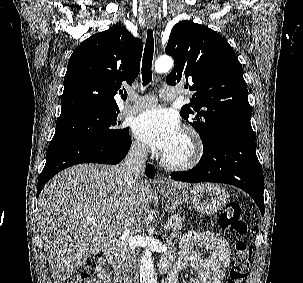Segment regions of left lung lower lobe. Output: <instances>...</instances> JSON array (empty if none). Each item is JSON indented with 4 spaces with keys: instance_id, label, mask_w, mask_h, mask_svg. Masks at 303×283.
Wrapping results in <instances>:
<instances>
[{
    "instance_id": "left-lung-lower-lobe-1",
    "label": "left lung lower lobe",
    "mask_w": 303,
    "mask_h": 283,
    "mask_svg": "<svg viewBox=\"0 0 303 283\" xmlns=\"http://www.w3.org/2000/svg\"><path fill=\"white\" fill-rule=\"evenodd\" d=\"M182 182H215L237 186L246 191L264 214V179L255 151L253 131L230 130L216 136L191 170L171 173Z\"/></svg>"
}]
</instances>
